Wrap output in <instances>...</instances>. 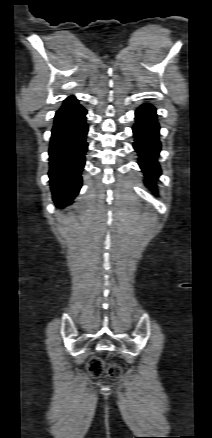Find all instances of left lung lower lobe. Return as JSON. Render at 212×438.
Listing matches in <instances>:
<instances>
[{"label": "left lung lower lobe", "mask_w": 212, "mask_h": 438, "mask_svg": "<svg viewBox=\"0 0 212 438\" xmlns=\"http://www.w3.org/2000/svg\"><path fill=\"white\" fill-rule=\"evenodd\" d=\"M135 137L134 148L138 152L139 165L146 176V184L155 188V179L160 175L157 156L160 152L158 139L159 125L156 121V110L149 104H143L136 111V123L133 127Z\"/></svg>", "instance_id": "1"}]
</instances>
